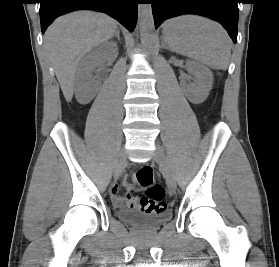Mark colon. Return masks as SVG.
I'll return each mask as SVG.
<instances>
[{"instance_id": "5ec220e1", "label": "colon", "mask_w": 279, "mask_h": 267, "mask_svg": "<svg viewBox=\"0 0 279 267\" xmlns=\"http://www.w3.org/2000/svg\"><path fill=\"white\" fill-rule=\"evenodd\" d=\"M135 179L144 195L137 199V206L144 213L161 214L167 209L162 200L164 189L154 182V173L150 165H144L136 172Z\"/></svg>"}]
</instances>
